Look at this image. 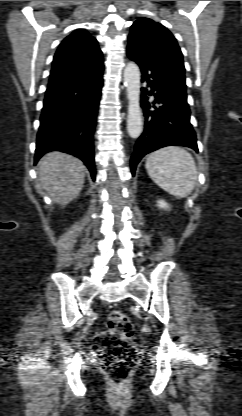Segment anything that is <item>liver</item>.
Masks as SVG:
<instances>
[{
	"instance_id": "6515ba94",
	"label": "liver",
	"mask_w": 242,
	"mask_h": 416,
	"mask_svg": "<svg viewBox=\"0 0 242 416\" xmlns=\"http://www.w3.org/2000/svg\"><path fill=\"white\" fill-rule=\"evenodd\" d=\"M40 186L62 206L74 200L84 183L85 166L81 160L62 152H50L38 163Z\"/></svg>"
}]
</instances>
